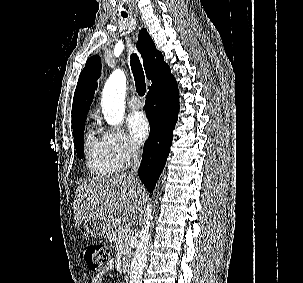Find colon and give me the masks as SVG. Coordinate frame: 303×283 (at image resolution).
I'll return each instance as SVG.
<instances>
[{"mask_svg": "<svg viewBox=\"0 0 303 283\" xmlns=\"http://www.w3.org/2000/svg\"><path fill=\"white\" fill-rule=\"evenodd\" d=\"M82 257L92 271H101L110 258L108 246L99 243H88L83 247Z\"/></svg>", "mask_w": 303, "mask_h": 283, "instance_id": "5ec220e1", "label": "colon"}]
</instances>
